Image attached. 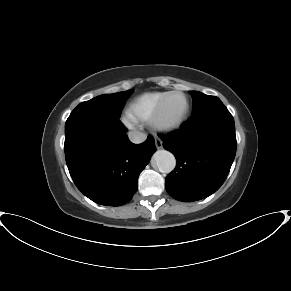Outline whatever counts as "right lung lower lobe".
Masks as SVG:
<instances>
[{
  "label": "right lung lower lobe",
  "instance_id": "1",
  "mask_svg": "<svg viewBox=\"0 0 291 291\" xmlns=\"http://www.w3.org/2000/svg\"><path fill=\"white\" fill-rule=\"evenodd\" d=\"M117 118L103 114H70L65 123V158L77 188L100 205L128 203L138 177L156 151L153 137L133 144Z\"/></svg>",
  "mask_w": 291,
  "mask_h": 291
}]
</instances>
